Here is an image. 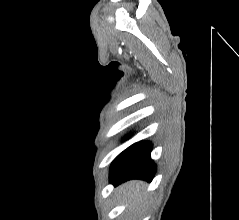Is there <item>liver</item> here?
<instances>
[{"mask_svg": "<svg viewBox=\"0 0 239 220\" xmlns=\"http://www.w3.org/2000/svg\"><path fill=\"white\" fill-rule=\"evenodd\" d=\"M140 185H142V182H128L126 184H123L120 187V191L123 192L122 198L123 201H127L131 198H133L138 192Z\"/></svg>", "mask_w": 239, "mask_h": 220, "instance_id": "obj_1", "label": "liver"}]
</instances>
